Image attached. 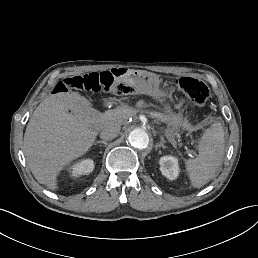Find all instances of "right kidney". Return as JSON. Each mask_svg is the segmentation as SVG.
I'll use <instances>...</instances> for the list:
<instances>
[{"instance_id": "right-kidney-1", "label": "right kidney", "mask_w": 258, "mask_h": 258, "mask_svg": "<svg viewBox=\"0 0 258 258\" xmlns=\"http://www.w3.org/2000/svg\"><path fill=\"white\" fill-rule=\"evenodd\" d=\"M93 169L94 161L92 159H85L73 164L70 168V173L73 177H79L91 173Z\"/></svg>"}]
</instances>
